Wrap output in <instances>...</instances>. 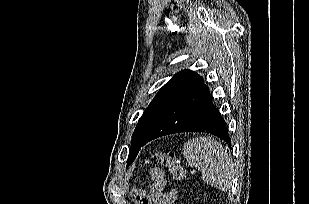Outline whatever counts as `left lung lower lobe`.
Returning <instances> with one entry per match:
<instances>
[{
    "instance_id": "1",
    "label": "left lung lower lobe",
    "mask_w": 309,
    "mask_h": 204,
    "mask_svg": "<svg viewBox=\"0 0 309 204\" xmlns=\"http://www.w3.org/2000/svg\"><path fill=\"white\" fill-rule=\"evenodd\" d=\"M180 132L210 133L231 148L226 122L212 104V96L205 85L171 105L149 130L141 147L155 138Z\"/></svg>"
}]
</instances>
